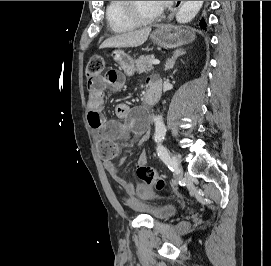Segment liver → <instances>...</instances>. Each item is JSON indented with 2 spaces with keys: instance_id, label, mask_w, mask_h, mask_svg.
Here are the masks:
<instances>
[{
  "instance_id": "liver-1",
  "label": "liver",
  "mask_w": 271,
  "mask_h": 266,
  "mask_svg": "<svg viewBox=\"0 0 271 266\" xmlns=\"http://www.w3.org/2000/svg\"><path fill=\"white\" fill-rule=\"evenodd\" d=\"M151 32V28H143L140 30L130 31L123 34L112 36L106 39L100 48H128V47H138L146 42L148 36Z\"/></svg>"
}]
</instances>
